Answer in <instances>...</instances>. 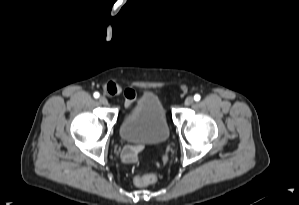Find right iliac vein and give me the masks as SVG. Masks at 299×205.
Segmentation results:
<instances>
[{
	"instance_id": "obj_1",
	"label": "right iliac vein",
	"mask_w": 299,
	"mask_h": 205,
	"mask_svg": "<svg viewBox=\"0 0 299 205\" xmlns=\"http://www.w3.org/2000/svg\"><path fill=\"white\" fill-rule=\"evenodd\" d=\"M99 102H100L101 104H103V105H107V104H108V100H107V98H106L105 96H101V97L99 98Z\"/></svg>"
}]
</instances>
